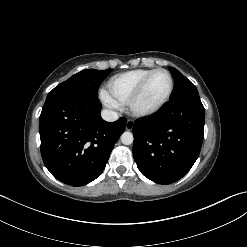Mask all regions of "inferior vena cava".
I'll list each match as a JSON object with an SVG mask.
<instances>
[{
    "mask_svg": "<svg viewBox=\"0 0 247 247\" xmlns=\"http://www.w3.org/2000/svg\"><path fill=\"white\" fill-rule=\"evenodd\" d=\"M101 116L103 118V120L107 121V122H113L116 121L118 119V114L114 111L111 110H102L101 112Z\"/></svg>",
    "mask_w": 247,
    "mask_h": 247,
    "instance_id": "602c4592",
    "label": "inferior vena cava"
}]
</instances>
